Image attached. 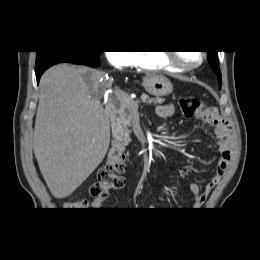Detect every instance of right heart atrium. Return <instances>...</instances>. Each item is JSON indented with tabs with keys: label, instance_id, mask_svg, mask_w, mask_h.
Masks as SVG:
<instances>
[{
	"label": "right heart atrium",
	"instance_id": "d8ad5b80",
	"mask_svg": "<svg viewBox=\"0 0 260 260\" xmlns=\"http://www.w3.org/2000/svg\"><path fill=\"white\" fill-rule=\"evenodd\" d=\"M109 63L117 68L123 69L130 67L134 64V53L124 50H113L106 53Z\"/></svg>",
	"mask_w": 260,
	"mask_h": 260
}]
</instances>
